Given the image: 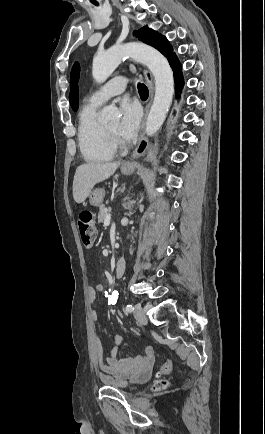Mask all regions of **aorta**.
<instances>
[{
	"label": "aorta",
	"mask_w": 265,
	"mask_h": 434,
	"mask_svg": "<svg viewBox=\"0 0 265 434\" xmlns=\"http://www.w3.org/2000/svg\"><path fill=\"white\" fill-rule=\"evenodd\" d=\"M129 56L149 68L155 80V98L146 122L147 136H153L161 128L170 110L174 94L173 72L164 56L145 44H125L112 46L104 54L94 56L92 76L95 82L103 84L122 62ZM119 110L113 106H105L101 114V122H118Z\"/></svg>",
	"instance_id": "obj_1"
}]
</instances>
